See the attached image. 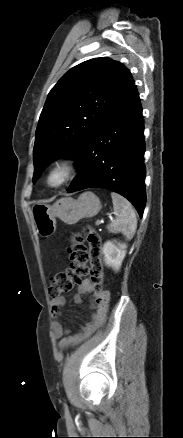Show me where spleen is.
Listing matches in <instances>:
<instances>
[{
  "label": "spleen",
  "mask_w": 183,
  "mask_h": 438,
  "mask_svg": "<svg viewBox=\"0 0 183 438\" xmlns=\"http://www.w3.org/2000/svg\"><path fill=\"white\" fill-rule=\"evenodd\" d=\"M114 214L116 219L113 220L108 226V230L111 233L121 232L127 240L133 238L136 228L137 219L134 209L128 200L119 194L111 193Z\"/></svg>",
  "instance_id": "spleen-1"
}]
</instances>
